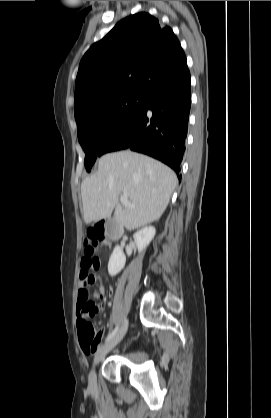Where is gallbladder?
Masks as SVG:
<instances>
[{"label":"gallbladder","instance_id":"obj_1","mask_svg":"<svg viewBox=\"0 0 271 418\" xmlns=\"http://www.w3.org/2000/svg\"><path fill=\"white\" fill-rule=\"evenodd\" d=\"M106 230L109 235H114V234L118 235L120 233L121 228L118 225V223L115 221L113 216H110L107 219Z\"/></svg>","mask_w":271,"mask_h":418}]
</instances>
